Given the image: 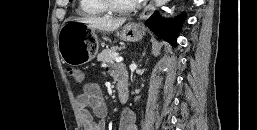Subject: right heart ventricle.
<instances>
[{"instance_id": "1", "label": "right heart ventricle", "mask_w": 257, "mask_h": 130, "mask_svg": "<svg viewBox=\"0 0 257 130\" xmlns=\"http://www.w3.org/2000/svg\"><path fill=\"white\" fill-rule=\"evenodd\" d=\"M77 12L85 16H99L106 12L98 0H79Z\"/></svg>"}]
</instances>
